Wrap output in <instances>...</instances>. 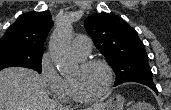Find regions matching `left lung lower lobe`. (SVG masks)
Wrapping results in <instances>:
<instances>
[{"instance_id": "0a47b994", "label": "left lung lower lobe", "mask_w": 171, "mask_h": 110, "mask_svg": "<svg viewBox=\"0 0 171 110\" xmlns=\"http://www.w3.org/2000/svg\"><path fill=\"white\" fill-rule=\"evenodd\" d=\"M144 85H147V86L150 87L156 94H158V90H157V88H156V86H155L154 83H146V84H144Z\"/></svg>"}]
</instances>
